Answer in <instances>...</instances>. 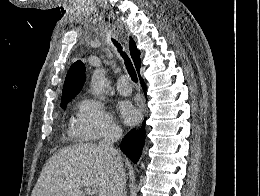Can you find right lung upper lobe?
Instances as JSON below:
<instances>
[{
	"instance_id": "cb5924a9",
	"label": "right lung upper lobe",
	"mask_w": 260,
	"mask_h": 196,
	"mask_svg": "<svg viewBox=\"0 0 260 196\" xmlns=\"http://www.w3.org/2000/svg\"><path fill=\"white\" fill-rule=\"evenodd\" d=\"M130 54L135 64L136 70L140 69V51L136 48L135 42L130 41ZM85 81V65L81 61H77L70 67L62 91L61 107L73 99L82 89Z\"/></svg>"
}]
</instances>
